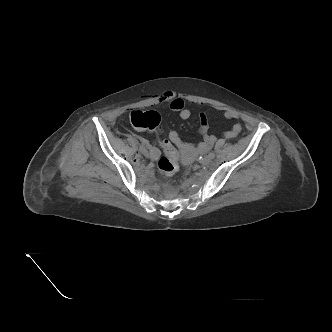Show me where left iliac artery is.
<instances>
[{
  "instance_id": "obj_1",
  "label": "left iliac artery",
  "mask_w": 332,
  "mask_h": 332,
  "mask_svg": "<svg viewBox=\"0 0 332 332\" xmlns=\"http://www.w3.org/2000/svg\"><path fill=\"white\" fill-rule=\"evenodd\" d=\"M209 156L213 159L215 157V153L214 152H210Z\"/></svg>"
}]
</instances>
